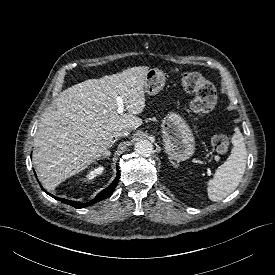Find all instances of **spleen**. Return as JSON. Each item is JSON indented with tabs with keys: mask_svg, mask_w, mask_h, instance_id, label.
<instances>
[{
	"mask_svg": "<svg viewBox=\"0 0 275 275\" xmlns=\"http://www.w3.org/2000/svg\"><path fill=\"white\" fill-rule=\"evenodd\" d=\"M233 148L227 160L218 167L214 177L207 183L211 201H221L239 185L246 168L247 150L244 137L238 128L232 137Z\"/></svg>",
	"mask_w": 275,
	"mask_h": 275,
	"instance_id": "spleen-1",
	"label": "spleen"
}]
</instances>
